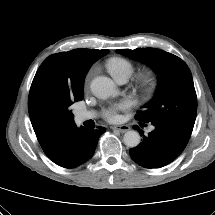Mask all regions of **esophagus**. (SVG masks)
<instances>
[{
  "label": "esophagus",
  "mask_w": 215,
  "mask_h": 215,
  "mask_svg": "<svg viewBox=\"0 0 215 215\" xmlns=\"http://www.w3.org/2000/svg\"><path fill=\"white\" fill-rule=\"evenodd\" d=\"M112 129L117 130L121 133H125L130 130V127L128 125H119L112 127Z\"/></svg>",
  "instance_id": "esophagus-1"
}]
</instances>
